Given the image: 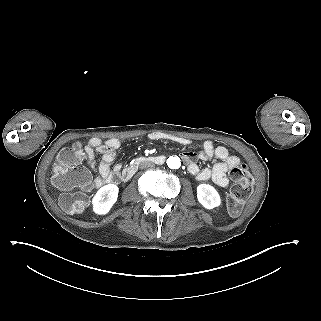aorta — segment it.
Wrapping results in <instances>:
<instances>
[{
    "label": "aorta",
    "instance_id": "aorta-1",
    "mask_svg": "<svg viewBox=\"0 0 321 321\" xmlns=\"http://www.w3.org/2000/svg\"><path fill=\"white\" fill-rule=\"evenodd\" d=\"M167 165L171 169H178L181 166V160L179 157L170 156L167 160Z\"/></svg>",
    "mask_w": 321,
    "mask_h": 321
}]
</instances>
